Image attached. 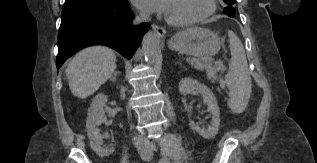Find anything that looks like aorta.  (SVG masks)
Wrapping results in <instances>:
<instances>
[{
	"instance_id": "762f6f07",
	"label": "aorta",
	"mask_w": 317,
	"mask_h": 163,
	"mask_svg": "<svg viewBox=\"0 0 317 163\" xmlns=\"http://www.w3.org/2000/svg\"><path fill=\"white\" fill-rule=\"evenodd\" d=\"M160 34L157 31H148L142 39L143 54L147 62L154 65L159 57Z\"/></svg>"
}]
</instances>
